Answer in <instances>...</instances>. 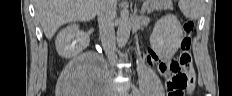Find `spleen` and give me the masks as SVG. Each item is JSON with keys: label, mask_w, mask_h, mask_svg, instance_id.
Returning <instances> with one entry per match:
<instances>
[{"label": "spleen", "mask_w": 232, "mask_h": 96, "mask_svg": "<svg viewBox=\"0 0 232 96\" xmlns=\"http://www.w3.org/2000/svg\"><path fill=\"white\" fill-rule=\"evenodd\" d=\"M178 5L183 15L190 20H197L202 15V0H179Z\"/></svg>", "instance_id": "obj_1"}]
</instances>
